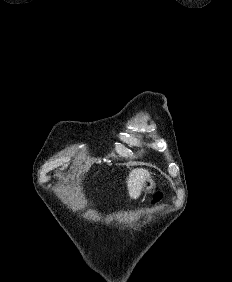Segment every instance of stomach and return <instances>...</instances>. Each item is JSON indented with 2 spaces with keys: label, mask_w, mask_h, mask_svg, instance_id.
Listing matches in <instances>:
<instances>
[{
  "label": "stomach",
  "mask_w": 232,
  "mask_h": 282,
  "mask_svg": "<svg viewBox=\"0 0 232 282\" xmlns=\"http://www.w3.org/2000/svg\"><path fill=\"white\" fill-rule=\"evenodd\" d=\"M155 187V181L152 177H149L144 185H143V188H142V191L144 192H149L151 189H153Z\"/></svg>",
  "instance_id": "0dacf381"
}]
</instances>
